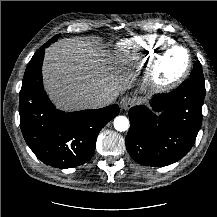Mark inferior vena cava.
Segmentation results:
<instances>
[{
    "label": "inferior vena cava",
    "instance_id": "inferior-vena-cava-1",
    "mask_svg": "<svg viewBox=\"0 0 217 217\" xmlns=\"http://www.w3.org/2000/svg\"><path fill=\"white\" fill-rule=\"evenodd\" d=\"M89 108L97 109L105 107L114 101V97L105 93H94L85 99Z\"/></svg>",
    "mask_w": 217,
    "mask_h": 217
}]
</instances>
